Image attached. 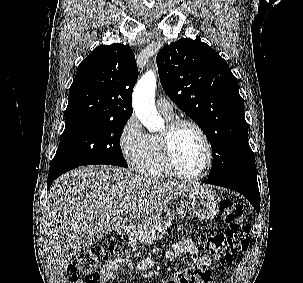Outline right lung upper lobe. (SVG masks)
<instances>
[{"instance_id":"right-lung-upper-lobe-1","label":"right lung upper lobe","mask_w":303,"mask_h":283,"mask_svg":"<svg viewBox=\"0 0 303 283\" xmlns=\"http://www.w3.org/2000/svg\"><path fill=\"white\" fill-rule=\"evenodd\" d=\"M137 78V64L129 46L119 43L98 46L78 66L69 89L65 118L129 119Z\"/></svg>"}]
</instances>
